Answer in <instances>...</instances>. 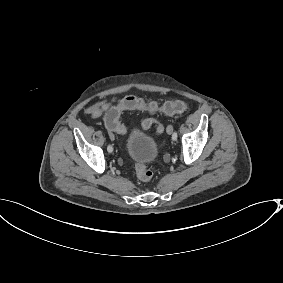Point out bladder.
Listing matches in <instances>:
<instances>
[{
    "label": "bladder",
    "mask_w": 283,
    "mask_h": 283,
    "mask_svg": "<svg viewBox=\"0 0 283 283\" xmlns=\"http://www.w3.org/2000/svg\"><path fill=\"white\" fill-rule=\"evenodd\" d=\"M124 151L133 163L152 164L160 155L161 144L145 131L131 129L125 137Z\"/></svg>",
    "instance_id": "31cf9c89"
}]
</instances>
